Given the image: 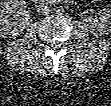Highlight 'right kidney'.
<instances>
[{"label":"right kidney","instance_id":"obj_1","mask_svg":"<svg viewBox=\"0 0 111 106\" xmlns=\"http://www.w3.org/2000/svg\"><path fill=\"white\" fill-rule=\"evenodd\" d=\"M26 8L25 1L18 0H5L0 4V25H1V36L15 37L21 34L27 25L30 23L31 19L29 16H25L21 19H16L12 21V15L17 11H21Z\"/></svg>","mask_w":111,"mask_h":106}]
</instances>
